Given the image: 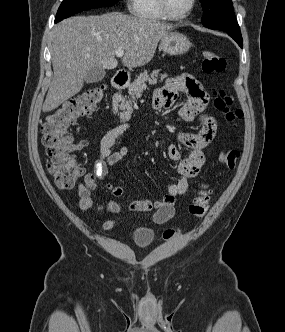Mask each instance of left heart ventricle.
<instances>
[{
  "label": "left heart ventricle",
  "mask_w": 285,
  "mask_h": 332,
  "mask_svg": "<svg viewBox=\"0 0 285 332\" xmlns=\"http://www.w3.org/2000/svg\"><path fill=\"white\" fill-rule=\"evenodd\" d=\"M171 11L176 15L184 14L191 5V0H168Z\"/></svg>",
  "instance_id": "1"
}]
</instances>
